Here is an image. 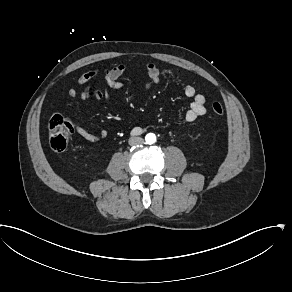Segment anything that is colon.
I'll return each mask as SVG.
<instances>
[{"instance_id": "obj_1", "label": "colon", "mask_w": 292, "mask_h": 292, "mask_svg": "<svg viewBox=\"0 0 292 292\" xmlns=\"http://www.w3.org/2000/svg\"><path fill=\"white\" fill-rule=\"evenodd\" d=\"M211 111L217 116L224 115V108L220 101L211 100ZM74 132L73 124L61 113L55 112L49 121L48 141L53 152H63Z\"/></svg>"}]
</instances>
